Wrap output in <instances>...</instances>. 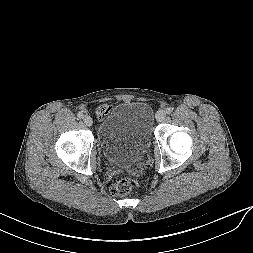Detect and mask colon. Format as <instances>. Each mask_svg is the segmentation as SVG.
Wrapping results in <instances>:
<instances>
[{"instance_id": "1", "label": "colon", "mask_w": 253, "mask_h": 253, "mask_svg": "<svg viewBox=\"0 0 253 253\" xmlns=\"http://www.w3.org/2000/svg\"><path fill=\"white\" fill-rule=\"evenodd\" d=\"M109 108L104 106L99 110V116L103 117L109 112ZM136 186V182L131 179H121L117 181L111 188V192L115 196H125L129 194L134 187Z\"/></svg>"}]
</instances>
